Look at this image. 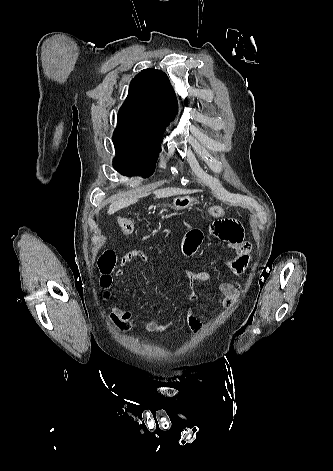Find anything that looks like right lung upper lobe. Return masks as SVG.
Wrapping results in <instances>:
<instances>
[{
    "instance_id": "1",
    "label": "right lung upper lobe",
    "mask_w": 333,
    "mask_h": 471,
    "mask_svg": "<svg viewBox=\"0 0 333 471\" xmlns=\"http://www.w3.org/2000/svg\"><path fill=\"white\" fill-rule=\"evenodd\" d=\"M177 111V99L169 78L161 70L144 69L129 86L117 125L164 131Z\"/></svg>"
}]
</instances>
